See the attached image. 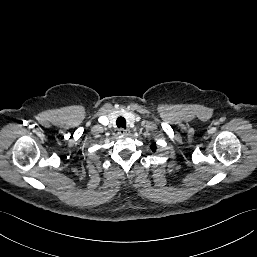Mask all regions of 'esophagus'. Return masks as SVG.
<instances>
[{"instance_id":"1","label":"esophagus","mask_w":257,"mask_h":257,"mask_svg":"<svg viewBox=\"0 0 257 257\" xmlns=\"http://www.w3.org/2000/svg\"><path fill=\"white\" fill-rule=\"evenodd\" d=\"M119 133L122 134V135H127L130 133V130L129 129H124V128H121L119 130Z\"/></svg>"}]
</instances>
